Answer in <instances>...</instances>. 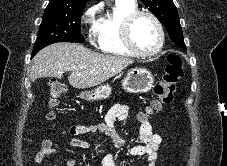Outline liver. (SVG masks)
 <instances>
[{
  "mask_svg": "<svg viewBox=\"0 0 227 166\" xmlns=\"http://www.w3.org/2000/svg\"><path fill=\"white\" fill-rule=\"evenodd\" d=\"M133 63L123 56L101 54L76 43H55L39 51L33 60L30 78L60 79L71 71L68 81L77 89L100 85Z\"/></svg>",
  "mask_w": 227,
  "mask_h": 166,
  "instance_id": "6515ba94",
  "label": "liver"
}]
</instances>
